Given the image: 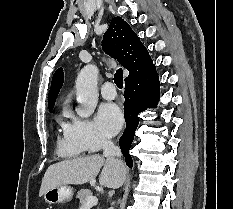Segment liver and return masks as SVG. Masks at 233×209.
<instances>
[{
    "label": "liver",
    "instance_id": "obj_1",
    "mask_svg": "<svg viewBox=\"0 0 233 209\" xmlns=\"http://www.w3.org/2000/svg\"><path fill=\"white\" fill-rule=\"evenodd\" d=\"M99 176L101 186L117 189L125 181L126 168L115 159H105L100 155L63 160L52 164L46 170L42 179L39 196L54 187L61 185H82L95 180Z\"/></svg>",
    "mask_w": 233,
    "mask_h": 209
}]
</instances>
